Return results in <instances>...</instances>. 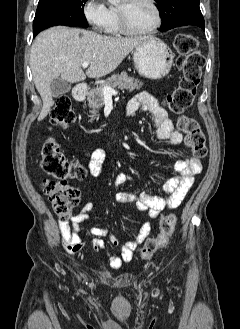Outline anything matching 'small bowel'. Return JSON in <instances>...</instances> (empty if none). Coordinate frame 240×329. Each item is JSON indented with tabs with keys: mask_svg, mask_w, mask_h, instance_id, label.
<instances>
[{
	"mask_svg": "<svg viewBox=\"0 0 240 329\" xmlns=\"http://www.w3.org/2000/svg\"><path fill=\"white\" fill-rule=\"evenodd\" d=\"M139 109L151 115L156 138L166 141L170 146L181 143L183 135L174 128L172 121L167 116L165 109L148 92H140L127 104L125 115L131 116ZM106 160V152L96 149L92 152L89 161V172L93 177H100L103 173V165ZM178 176L170 179L162 188V195H153L148 192L134 193L120 191L116 194V201L121 204H132L138 212L146 213L148 220L143 223L135 236L125 242H119L117 237L106 228L92 227L90 234L93 236L91 246L95 253L104 249L109 255V265L113 269H120L125 263L131 261L134 251L140 246L151 231V220L158 218L160 213L167 209L178 207L184 200L187 192L193 184L196 175L202 171V162L199 158L183 156L174 165ZM133 178L127 173L116 176V186L132 181ZM94 205L90 202L84 204L81 211L72 218L71 222L62 220L59 222V230L64 248L71 253L80 252L86 243L80 237V226L90 218V212ZM119 247L120 253L115 254L108 248V242Z\"/></svg>",
	"mask_w": 240,
	"mask_h": 329,
	"instance_id": "small-bowel-1",
	"label": "small bowel"
}]
</instances>
